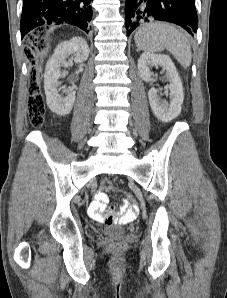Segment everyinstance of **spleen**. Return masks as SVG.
Returning <instances> with one entry per match:
<instances>
[{
  "instance_id": "1",
  "label": "spleen",
  "mask_w": 227,
  "mask_h": 298,
  "mask_svg": "<svg viewBox=\"0 0 227 298\" xmlns=\"http://www.w3.org/2000/svg\"><path fill=\"white\" fill-rule=\"evenodd\" d=\"M134 40L138 49L145 52H160L166 48L183 67L187 68L191 64L189 40L180 30L168 23L146 24L136 31Z\"/></svg>"
}]
</instances>
